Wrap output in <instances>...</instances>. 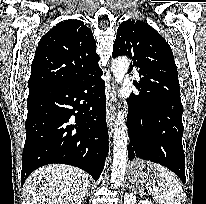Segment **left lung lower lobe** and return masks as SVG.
<instances>
[{"mask_svg":"<svg viewBox=\"0 0 206 204\" xmlns=\"http://www.w3.org/2000/svg\"><path fill=\"white\" fill-rule=\"evenodd\" d=\"M137 88L139 95L127 99L129 160L135 157L163 165L185 183V156L182 146L183 107L180 91L167 85L157 91L146 90L147 71L141 68Z\"/></svg>","mask_w":206,"mask_h":204,"instance_id":"0a47b994","label":"left lung lower lobe"}]
</instances>
